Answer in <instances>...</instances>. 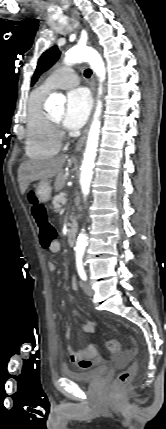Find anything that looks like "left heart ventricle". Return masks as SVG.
Returning <instances> with one entry per match:
<instances>
[{
  "mask_svg": "<svg viewBox=\"0 0 166 429\" xmlns=\"http://www.w3.org/2000/svg\"><path fill=\"white\" fill-rule=\"evenodd\" d=\"M62 116H63V111H59V112L53 114L52 118L55 119V120H57V121H60L61 118H62Z\"/></svg>",
  "mask_w": 166,
  "mask_h": 429,
  "instance_id": "b2bd125f",
  "label": "left heart ventricle"
}]
</instances>
